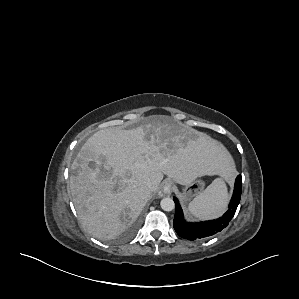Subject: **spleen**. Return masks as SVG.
Masks as SVG:
<instances>
[{
    "instance_id": "3e777b00",
    "label": "spleen",
    "mask_w": 299,
    "mask_h": 299,
    "mask_svg": "<svg viewBox=\"0 0 299 299\" xmlns=\"http://www.w3.org/2000/svg\"><path fill=\"white\" fill-rule=\"evenodd\" d=\"M227 203V186L217 178L189 203L188 210L196 218L214 219L226 210Z\"/></svg>"
}]
</instances>
